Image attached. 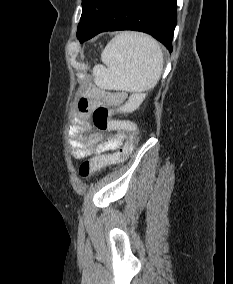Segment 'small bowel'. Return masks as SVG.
Masks as SVG:
<instances>
[{"label":"small bowel","instance_id":"small-bowel-1","mask_svg":"<svg viewBox=\"0 0 233 284\" xmlns=\"http://www.w3.org/2000/svg\"><path fill=\"white\" fill-rule=\"evenodd\" d=\"M124 92L106 91L96 87L85 89L77 102L73 125L70 128V153L75 159L98 156L117 150L126 137V130H112L106 138L99 132L88 133L89 117L92 110L99 106L118 107L124 103ZM126 125H135L123 121Z\"/></svg>","mask_w":233,"mask_h":284}]
</instances>
